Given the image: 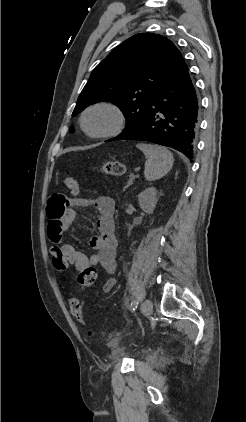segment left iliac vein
Instances as JSON below:
<instances>
[{"mask_svg": "<svg viewBox=\"0 0 246 422\" xmlns=\"http://www.w3.org/2000/svg\"><path fill=\"white\" fill-rule=\"evenodd\" d=\"M152 301L150 299H145L141 306V312L143 316L148 315L152 310Z\"/></svg>", "mask_w": 246, "mask_h": 422, "instance_id": "4c4485c4", "label": "left iliac vein"}]
</instances>
